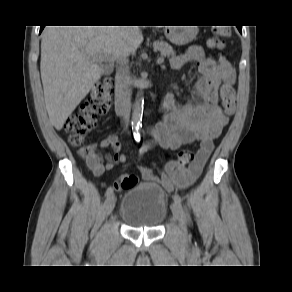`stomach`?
I'll return each mask as SVG.
<instances>
[{"mask_svg":"<svg viewBox=\"0 0 292 292\" xmlns=\"http://www.w3.org/2000/svg\"><path fill=\"white\" fill-rule=\"evenodd\" d=\"M198 32L197 26L170 27L165 34L170 42L176 45H185L195 39Z\"/></svg>","mask_w":292,"mask_h":292,"instance_id":"1","label":"stomach"}]
</instances>
